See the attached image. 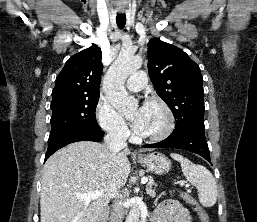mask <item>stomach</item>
I'll use <instances>...</instances> for the list:
<instances>
[{
	"instance_id": "stomach-1",
	"label": "stomach",
	"mask_w": 257,
	"mask_h": 222,
	"mask_svg": "<svg viewBox=\"0 0 257 222\" xmlns=\"http://www.w3.org/2000/svg\"><path fill=\"white\" fill-rule=\"evenodd\" d=\"M138 162L151 173L162 175L171 168V161L162 153L154 152L147 156L139 157Z\"/></svg>"
}]
</instances>
